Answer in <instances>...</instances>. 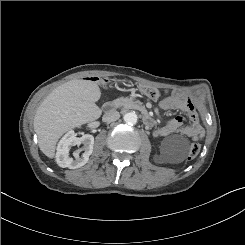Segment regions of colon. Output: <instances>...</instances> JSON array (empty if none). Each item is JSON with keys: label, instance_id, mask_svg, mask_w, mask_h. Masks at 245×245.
<instances>
[{"label": "colon", "instance_id": "1", "mask_svg": "<svg viewBox=\"0 0 245 245\" xmlns=\"http://www.w3.org/2000/svg\"><path fill=\"white\" fill-rule=\"evenodd\" d=\"M140 91L145 94L146 96L157 99L160 98L162 95L165 94V91H162L158 88L152 86H141ZM200 152V145L198 143H193L189 147L188 151V159H194Z\"/></svg>", "mask_w": 245, "mask_h": 245}]
</instances>
